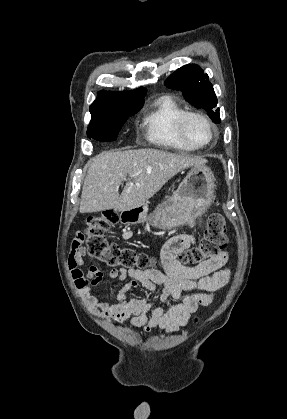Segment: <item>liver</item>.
I'll list each match as a JSON object with an SVG mask.
<instances>
[{"instance_id": "6515ba94", "label": "liver", "mask_w": 287, "mask_h": 419, "mask_svg": "<svg viewBox=\"0 0 287 419\" xmlns=\"http://www.w3.org/2000/svg\"><path fill=\"white\" fill-rule=\"evenodd\" d=\"M206 162L198 156L154 148L102 152L88 163L80 212L122 211L143 206L180 171ZM127 177L119 194V187Z\"/></svg>"}]
</instances>
